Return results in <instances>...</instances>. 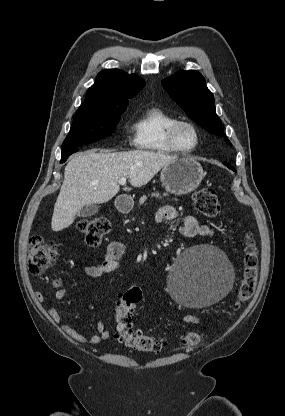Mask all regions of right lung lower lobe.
<instances>
[{
	"label": "right lung lower lobe",
	"instance_id": "98d812e1",
	"mask_svg": "<svg viewBox=\"0 0 285 416\" xmlns=\"http://www.w3.org/2000/svg\"><path fill=\"white\" fill-rule=\"evenodd\" d=\"M77 150L76 149H74V148H71V149H65V150H62V152H61V154H62V159H61V163H64L66 160H67V158L71 155V154H73V153H75Z\"/></svg>",
	"mask_w": 285,
	"mask_h": 416
}]
</instances>
